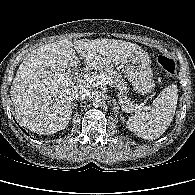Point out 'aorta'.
Wrapping results in <instances>:
<instances>
[{"label": "aorta", "instance_id": "aorta-1", "mask_svg": "<svg viewBox=\"0 0 195 195\" xmlns=\"http://www.w3.org/2000/svg\"><path fill=\"white\" fill-rule=\"evenodd\" d=\"M103 104H104V100H103V98H101V97H96V98H94V100H93V105L95 106V107H101V106H103Z\"/></svg>", "mask_w": 195, "mask_h": 195}]
</instances>
